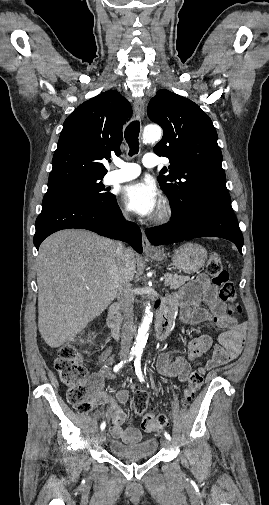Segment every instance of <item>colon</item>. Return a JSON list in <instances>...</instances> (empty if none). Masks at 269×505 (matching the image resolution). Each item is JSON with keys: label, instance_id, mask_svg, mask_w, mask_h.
I'll return each instance as SVG.
<instances>
[{"label": "colon", "instance_id": "1", "mask_svg": "<svg viewBox=\"0 0 269 505\" xmlns=\"http://www.w3.org/2000/svg\"><path fill=\"white\" fill-rule=\"evenodd\" d=\"M206 272L211 277L212 283L219 287L220 299L231 303L228 310L230 316L241 313V307L235 304L236 290L230 281L229 274L223 266L222 258L217 253H212L206 264ZM95 334L89 332L86 337L79 338L75 344L64 345L54 360V369L60 381L67 386L66 398L80 413H89L93 410V398L97 392L99 382L97 378L90 377L82 362V355L78 346L93 341ZM203 383V372L195 369L188 378L184 391L183 403L191 402ZM134 410L138 415H144L142 427L147 432H159L168 424V416L146 413L148 395L144 391H137L133 400Z\"/></svg>", "mask_w": 269, "mask_h": 505}]
</instances>
